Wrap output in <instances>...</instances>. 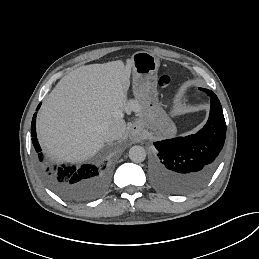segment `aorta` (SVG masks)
Instances as JSON below:
<instances>
[{"mask_svg":"<svg viewBox=\"0 0 259 259\" xmlns=\"http://www.w3.org/2000/svg\"><path fill=\"white\" fill-rule=\"evenodd\" d=\"M129 158L134 163L143 162L146 158V151L144 147L139 145L132 146L129 150Z\"/></svg>","mask_w":259,"mask_h":259,"instance_id":"1","label":"aorta"}]
</instances>
